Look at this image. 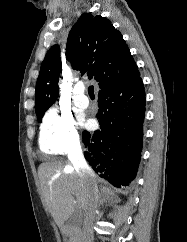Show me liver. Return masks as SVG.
Masks as SVG:
<instances>
[{"mask_svg":"<svg viewBox=\"0 0 187 242\" xmlns=\"http://www.w3.org/2000/svg\"><path fill=\"white\" fill-rule=\"evenodd\" d=\"M38 175L45 203L58 227L74 213L75 203L85 209L89 194V180L81 178L70 162L50 161L39 166ZM94 181L98 179L94 176ZM101 193L112 194L101 186Z\"/></svg>","mask_w":187,"mask_h":242,"instance_id":"1","label":"liver"}]
</instances>
